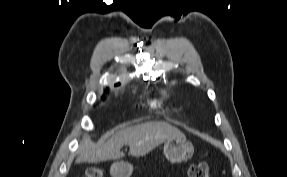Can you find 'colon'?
<instances>
[{
    "instance_id": "1",
    "label": "colon",
    "mask_w": 287,
    "mask_h": 177,
    "mask_svg": "<svg viewBox=\"0 0 287 177\" xmlns=\"http://www.w3.org/2000/svg\"><path fill=\"white\" fill-rule=\"evenodd\" d=\"M105 171L102 167L89 168L82 177H104ZM188 177H211L210 166L206 162L193 164L189 168Z\"/></svg>"
}]
</instances>
